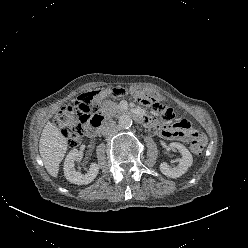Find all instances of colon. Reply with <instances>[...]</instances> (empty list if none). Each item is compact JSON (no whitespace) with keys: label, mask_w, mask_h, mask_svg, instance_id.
<instances>
[{"label":"colon","mask_w":248,"mask_h":248,"mask_svg":"<svg viewBox=\"0 0 248 248\" xmlns=\"http://www.w3.org/2000/svg\"><path fill=\"white\" fill-rule=\"evenodd\" d=\"M126 92L124 88H115L111 96L116 97ZM138 101L150 106L159 114L166 123H171L176 118L172 107L167 105L164 99L152 91L136 92ZM101 102L92 94H83L76 101L74 106L61 108L54 118V123L62 130L67 138L70 147L78 146L82 140L87 125L99 114ZM205 146L203 137H195L190 143V150L194 154H201Z\"/></svg>","instance_id":"5ec220e1"}]
</instances>
